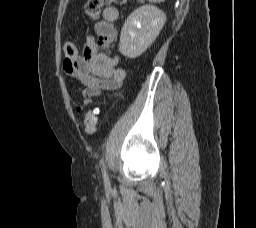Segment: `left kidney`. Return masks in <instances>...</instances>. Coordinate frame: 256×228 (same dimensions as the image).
Here are the masks:
<instances>
[{
    "instance_id": "left-kidney-1",
    "label": "left kidney",
    "mask_w": 256,
    "mask_h": 228,
    "mask_svg": "<svg viewBox=\"0 0 256 228\" xmlns=\"http://www.w3.org/2000/svg\"><path fill=\"white\" fill-rule=\"evenodd\" d=\"M165 22V13L156 6L143 5L133 11L121 30V54L128 58L140 56L155 41Z\"/></svg>"
}]
</instances>
